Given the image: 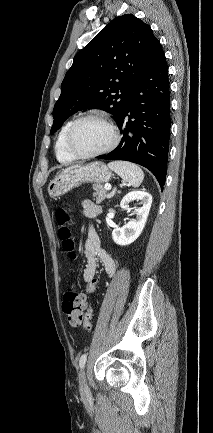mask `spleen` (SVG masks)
I'll list each match as a JSON object with an SVG mask.
<instances>
[{
    "mask_svg": "<svg viewBox=\"0 0 213 433\" xmlns=\"http://www.w3.org/2000/svg\"><path fill=\"white\" fill-rule=\"evenodd\" d=\"M108 167L133 187L140 186L144 179L142 169L136 164L130 162L114 161L110 162Z\"/></svg>",
    "mask_w": 213,
    "mask_h": 433,
    "instance_id": "obj_1",
    "label": "spleen"
}]
</instances>
